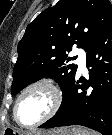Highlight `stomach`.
<instances>
[{
  "mask_svg": "<svg viewBox=\"0 0 112 135\" xmlns=\"http://www.w3.org/2000/svg\"><path fill=\"white\" fill-rule=\"evenodd\" d=\"M82 129L71 127V128H61L59 130L44 132V131H35V132H29L27 134H21L17 130H13L10 128H6L2 135H81Z\"/></svg>",
  "mask_w": 112,
  "mask_h": 135,
  "instance_id": "obj_1",
  "label": "stomach"
}]
</instances>
